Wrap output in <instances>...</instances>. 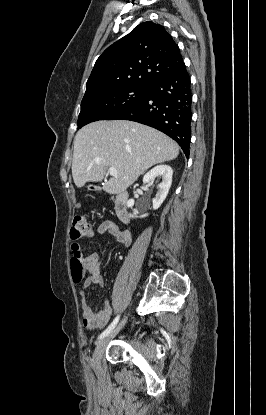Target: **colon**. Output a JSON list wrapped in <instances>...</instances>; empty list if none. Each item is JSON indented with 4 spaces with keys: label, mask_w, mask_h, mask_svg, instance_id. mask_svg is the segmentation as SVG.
Here are the masks:
<instances>
[{
    "label": "colon",
    "mask_w": 266,
    "mask_h": 415,
    "mask_svg": "<svg viewBox=\"0 0 266 415\" xmlns=\"http://www.w3.org/2000/svg\"><path fill=\"white\" fill-rule=\"evenodd\" d=\"M70 235L71 238L75 240L91 237L93 235L92 225L85 216L78 215L74 217ZM71 268L75 281H80L84 271V265L82 263L80 254H73V258L71 260Z\"/></svg>",
    "instance_id": "colon-1"
}]
</instances>
